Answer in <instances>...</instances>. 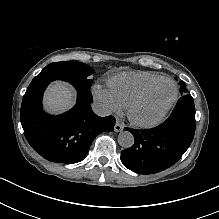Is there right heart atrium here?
Wrapping results in <instances>:
<instances>
[{
    "label": "right heart atrium",
    "instance_id": "obj_1",
    "mask_svg": "<svg viewBox=\"0 0 219 219\" xmlns=\"http://www.w3.org/2000/svg\"><path fill=\"white\" fill-rule=\"evenodd\" d=\"M93 95L95 99L100 103L103 111L106 114L120 112V104L114 99V97L111 95L109 91L103 89L99 85H96L93 88Z\"/></svg>",
    "mask_w": 219,
    "mask_h": 219
}]
</instances>
